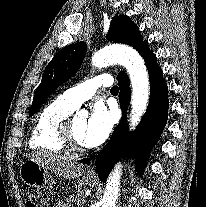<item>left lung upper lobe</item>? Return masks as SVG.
<instances>
[{"instance_id":"5c2ea615","label":"left lung upper lobe","mask_w":206,"mask_h":207,"mask_svg":"<svg viewBox=\"0 0 206 207\" xmlns=\"http://www.w3.org/2000/svg\"><path fill=\"white\" fill-rule=\"evenodd\" d=\"M107 39L113 42L127 44L142 54L147 48V41H143L139 28L128 16H115L107 34ZM86 43L79 42L61 49L47 65L41 83L36 89L30 109L32 116L49 95L78 71L85 57ZM125 74L120 72L118 76Z\"/></svg>"}]
</instances>
